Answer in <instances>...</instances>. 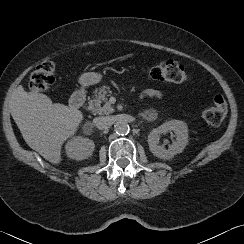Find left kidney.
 <instances>
[{"label": "left kidney", "instance_id": "left-kidney-1", "mask_svg": "<svg viewBox=\"0 0 244 244\" xmlns=\"http://www.w3.org/2000/svg\"><path fill=\"white\" fill-rule=\"evenodd\" d=\"M173 131L175 140L168 149L160 146V134ZM148 145L150 151L158 158L168 160L181 153L188 144V126L181 120H170L161 126L154 128L148 135Z\"/></svg>", "mask_w": 244, "mask_h": 244}]
</instances>
